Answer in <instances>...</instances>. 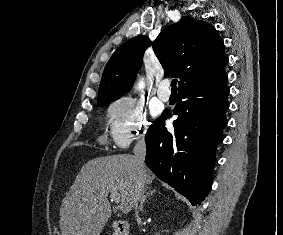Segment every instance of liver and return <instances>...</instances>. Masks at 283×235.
I'll return each mask as SVG.
<instances>
[{"label":"liver","instance_id":"obj_1","mask_svg":"<svg viewBox=\"0 0 283 235\" xmlns=\"http://www.w3.org/2000/svg\"><path fill=\"white\" fill-rule=\"evenodd\" d=\"M138 173L134 156L118 154L88 161L77 175L60 208L62 235H100L111 216L107 199L115 189L120 196V210L128 214L134 207ZM154 175L146 167L143 188Z\"/></svg>","mask_w":283,"mask_h":235}]
</instances>
